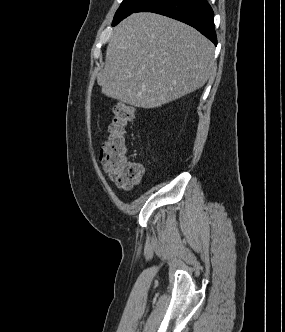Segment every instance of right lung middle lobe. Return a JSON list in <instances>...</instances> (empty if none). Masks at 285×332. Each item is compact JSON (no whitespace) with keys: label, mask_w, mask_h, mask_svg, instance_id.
<instances>
[{"label":"right lung middle lobe","mask_w":285,"mask_h":332,"mask_svg":"<svg viewBox=\"0 0 285 332\" xmlns=\"http://www.w3.org/2000/svg\"><path fill=\"white\" fill-rule=\"evenodd\" d=\"M148 0H123L119 9L117 10L112 25L118 24L121 20L133 13L137 8L143 5Z\"/></svg>","instance_id":"right-lung-middle-lobe-1"}]
</instances>
